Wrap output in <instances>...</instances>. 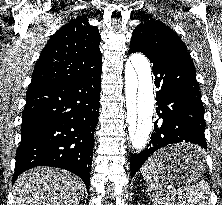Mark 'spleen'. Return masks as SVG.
Masks as SVG:
<instances>
[{
    "label": "spleen",
    "instance_id": "spleen-1",
    "mask_svg": "<svg viewBox=\"0 0 222 205\" xmlns=\"http://www.w3.org/2000/svg\"><path fill=\"white\" fill-rule=\"evenodd\" d=\"M159 163V158L154 155L141 168V174L147 182V192L157 205H209L210 189L205 180L179 187L178 198L171 195L159 174L157 168Z\"/></svg>",
    "mask_w": 222,
    "mask_h": 205
}]
</instances>
